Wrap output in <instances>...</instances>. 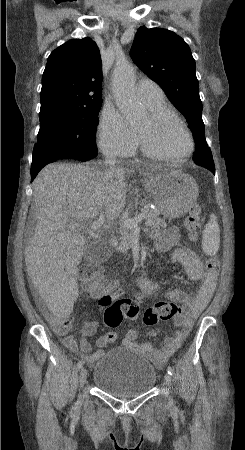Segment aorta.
Masks as SVG:
<instances>
[{
    "instance_id": "aorta-1",
    "label": "aorta",
    "mask_w": 245,
    "mask_h": 450,
    "mask_svg": "<svg viewBox=\"0 0 245 450\" xmlns=\"http://www.w3.org/2000/svg\"><path fill=\"white\" fill-rule=\"evenodd\" d=\"M135 71L128 62L119 63L113 75V92L117 106L127 121L135 125L139 123L145 115V110L136 97Z\"/></svg>"
}]
</instances>
